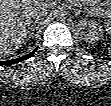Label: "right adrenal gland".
Returning a JSON list of instances; mask_svg holds the SVG:
<instances>
[{"label":"right adrenal gland","mask_w":111,"mask_h":106,"mask_svg":"<svg viewBox=\"0 0 111 106\" xmlns=\"http://www.w3.org/2000/svg\"><path fill=\"white\" fill-rule=\"evenodd\" d=\"M38 21H39V20H35V21L30 25V27H29V37H28V39H30V38L33 36V34H34V29H35V26H36V24L38 23Z\"/></svg>","instance_id":"obj_1"}]
</instances>
